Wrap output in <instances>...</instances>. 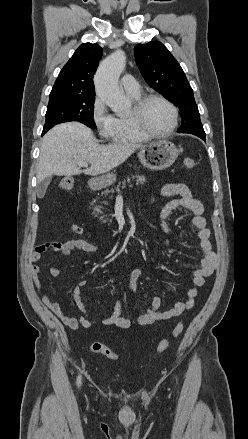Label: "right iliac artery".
I'll use <instances>...</instances> for the list:
<instances>
[{"instance_id": "82829eb1", "label": "right iliac artery", "mask_w": 248, "mask_h": 439, "mask_svg": "<svg viewBox=\"0 0 248 439\" xmlns=\"http://www.w3.org/2000/svg\"><path fill=\"white\" fill-rule=\"evenodd\" d=\"M77 383H78V385L81 384V376H78Z\"/></svg>"}]
</instances>
